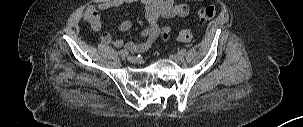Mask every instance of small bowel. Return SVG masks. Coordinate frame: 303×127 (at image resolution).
<instances>
[{"label": "small bowel", "instance_id": "small-bowel-1", "mask_svg": "<svg viewBox=\"0 0 303 127\" xmlns=\"http://www.w3.org/2000/svg\"><path fill=\"white\" fill-rule=\"evenodd\" d=\"M132 2H139L144 7V15L147 21V26L142 33L144 40L139 43L129 41L124 44L123 39L113 40L109 32H104L100 37L103 44H112L117 49L124 47L127 52L143 53L160 37L162 31L169 30L168 26L160 25L161 18L184 17L189 12L186 4L175 0H98L95 4L87 7L84 12V19L95 31H100L103 28L102 10L116 8ZM131 27L132 23L129 20H124L119 25V29L123 33L128 32Z\"/></svg>", "mask_w": 303, "mask_h": 127}]
</instances>
